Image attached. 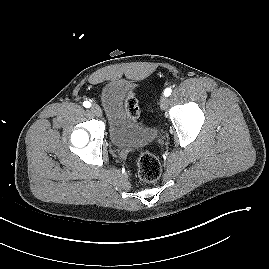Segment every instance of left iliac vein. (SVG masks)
Instances as JSON below:
<instances>
[{"mask_svg":"<svg viewBox=\"0 0 269 269\" xmlns=\"http://www.w3.org/2000/svg\"><path fill=\"white\" fill-rule=\"evenodd\" d=\"M160 107L162 110H166L168 107V98L166 96L161 97L160 99Z\"/></svg>","mask_w":269,"mask_h":269,"instance_id":"4c4485c4","label":"left iliac vein"}]
</instances>
